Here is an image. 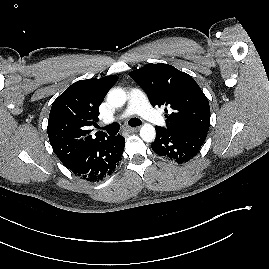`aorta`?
I'll return each instance as SVG.
<instances>
[{
    "instance_id": "aorta-1",
    "label": "aorta",
    "mask_w": 269,
    "mask_h": 269,
    "mask_svg": "<svg viewBox=\"0 0 269 269\" xmlns=\"http://www.w3.org/2000/svg\"><path fill=\"white\" fill-rule=\"evenodd\" d=\"M126 93L122 89H112L107 94V101L113 107H121L126 102ZM140 137L145 142H152L156 137L155 128L149 124L145 123L140 129Z\"/></svg>"
}]
</instances>
